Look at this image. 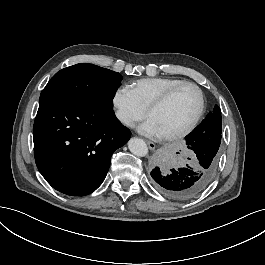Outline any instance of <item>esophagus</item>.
I'll list each match as a JSON object with an SVG mask.
<instances>
[{"instance_id": "obj_1", "label": "esophagus", "mask_w": 265, "mask_h": 265, "mask_svg": "<svg viewBox=\"0 0 265 265\" xmlns=\"http://www.w3.org/2000/svg\"><path fill=\"white\" fill-rule=\"evenodd\" d=\"M148 147L150 150H154L156 148L155 143L151 142V141H146Z\"/></svg>"}]
</instances>
